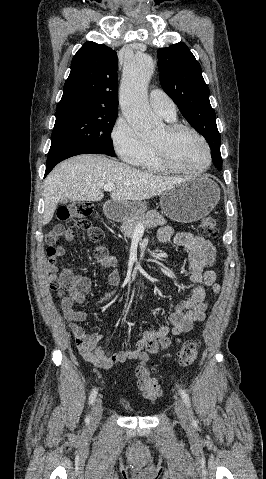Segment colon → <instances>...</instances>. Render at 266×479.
Returning <instances> with one entry per match:
<instances>
[{
  "label": "colon",
  "mask_w": 266,
  "mask_h": 479,
  "mask_svg": "<svg viewBox=\"0 0 266 479\" xmlns=\"http://www.w3.org/2000/svg\"><path fill=\"white\" fill-rule=\"evenodd\" d=\"M92 214V204L87 201L74 202L70 205L58 209L57 218L64 223L69 230H76L84 233L90 241L98 243L103 238L102 230L95 226L89 219ZM63 230L62 226H57L50 231L47 236V255L52 265H55L58 258L63 255L64 250L54 243ZM199 231L207 237H217L218 229L213 217H205L200 224ZM171 341L162 339L149 342L146 351L140 354V364L136 367V376L138 378V388L144 398L149 401H156L161 396V390L156 378L153 376L152 356L158 354L162 349L168 348ZM200 342L197 339L184 341L176 351V357L181 366L193 364L199 355Z\"/></svg>",
  "instance_id": "colon-1"
}]
</instances>
